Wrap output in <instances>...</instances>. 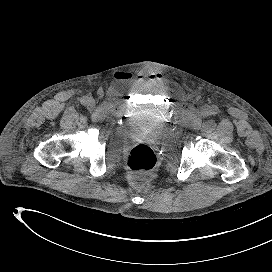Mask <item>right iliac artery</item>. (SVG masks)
<instances>
[{
	"instance_id": "1",
	"label": "right iliac artery",
	"mask_w": 272,
	"mask_h": 272,
	"mask_svg": "<svg viewBox=\"0 0 272 272\" xmlns=\"http://www.w3.org/2000/svg\"><path fill=\"white\" fill-rule=\"evenodd\" d=\"M87 99L88 98H86V97H83L81 100H80V102H81V104H86L87 103Z\"/></svg>"
}]
</instances>
